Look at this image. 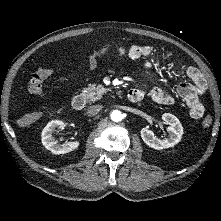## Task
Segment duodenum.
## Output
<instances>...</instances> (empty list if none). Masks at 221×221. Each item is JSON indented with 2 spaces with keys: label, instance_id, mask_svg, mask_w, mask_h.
Instances as JSON below:
<instances>
[{
  "label": "duodenum",
  "instance_id": "410a0bca",
  "mask_svg": "<svg viewBox=\"0 0 221 221\" xmlns=\"http://www.w3.org/2000/svg\"><path fill=\"white\" fill-rule=\"evenodd\" d=\"M127 98L132 103H136V102L139 101V95L133 90H130L128 92ZM71 103H72V107H73L74 110L81 111V110L84 109V107L86 105V100L83 96L76 95V96L73 97Z\"/></svg>",
  "mask_w": 221,
  "mask_h": 221
}]
</instances>
